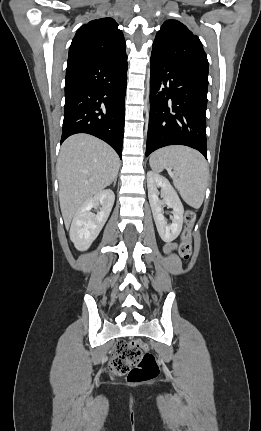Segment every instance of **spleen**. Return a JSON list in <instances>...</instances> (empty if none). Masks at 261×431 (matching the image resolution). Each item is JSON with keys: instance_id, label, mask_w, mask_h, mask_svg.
<instances>
[{"instance_id": "3e777b00", "label": "spleen", "mask_w": 261, "mask_h": 431, "mask_svg": "<svg viewBox=\"0 0 261 431\" xmlns=\"http://www.w3.org/2000/svg\"><path fill=\"white\" fill-rule=\"evenodd\" d=\"M149 162L156 172L172 168L176 174L174 186L183 200L193 208H200L207 186L208 166L199 152L182 146L166 147L154 152Z\"/></svg>"}]
</instances>
